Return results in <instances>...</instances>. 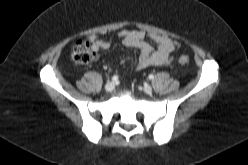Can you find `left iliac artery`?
Masks as SVG:
<instances>
[{"instance_id": "left-iliac-artery-1", "label": "left iliac artery", "mask_w": 248, "mask_h": 165, "mask_svg": "<svg viewBox=\"0 0 248 165\" xmlns=\"http://www.w3.org/2000/svg\"><path fill=\"white\" fill-rule=\"evenodd\" d=\"M148 78H149L150 80H153V79H154V76H153L152 74H150V75L148 76Z\"/></svg>"}]
</instances>
